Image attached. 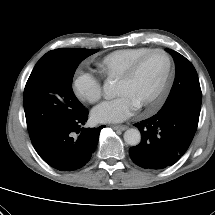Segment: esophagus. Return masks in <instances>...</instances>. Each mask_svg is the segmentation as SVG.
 I'll return each instance as SVG.
<instances>
[{
  "label": "esophagus",
  "instance_id": "esophagus-1",
  "mask_svg": "<svg viewBox=\"0 0 215 215\" xmlns=\"http://www.w3.org/2000/svg\"><path fill=\"white\" fill-rule=\"evenodd\" d=\"M111 127L115 130H121V131H124L127 129L126 125H112Z\"/></svg>",
  "mask_w": 215,
  "mask_h": 215
}]
</instances>
